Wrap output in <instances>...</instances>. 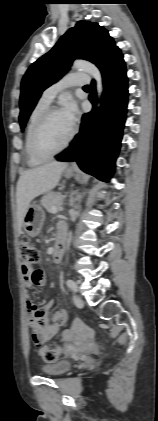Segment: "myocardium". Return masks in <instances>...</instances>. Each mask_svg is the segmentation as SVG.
Masks as SVG:
<instances>
[{"label":"myocardium","instance_id":"obj_1","mask_svg":"<svg viewBox=\"0 0 158 421\" xmlns=\"http://www.w3.org/2000/svg\"><path fill=\"white\" fill-rule=\"evenodd\" d=\"M57 112H61L60 109L56 108V107H50L47 108L39 117V119L37 120L33 130H32V135H31V147L33 150V153L41 159L44 160H48L51 159L52 157L56 156L57 154L61 153L63 150H65L70 142L72 141L74 134H75V130L74 128L71 129V132L69 134V136L67 137V139L65 140V142L56 150L54 151H50L47 152L45 150L42 149V147L40 146V135L41 132L47 122V120L49 119V117Z\"/></svg>","mask_w":158,"mask_h":421}]
</instances>
